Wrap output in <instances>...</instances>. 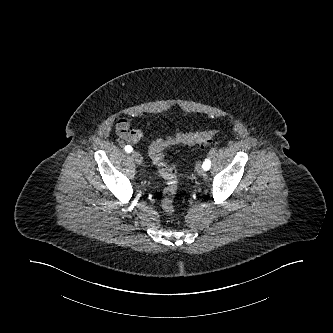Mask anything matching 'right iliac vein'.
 Returning <instances> with one entry per match:
<instances>
[{"mask_svg":"<svg viewBox=\"0 0 333 333\" xmlns=\"http://www.w3.org/2000/svg\"><path fill=\"white\" fill-rule=\"evenodd\" d=\"M131 156L136 162V164L138 165L142 164V156L139 153L133 151Z\"/></svg>","mask_w":333,"mask_h":333,"instance_id":"obj_1","label":"right iliac vein"}]
</instances>
